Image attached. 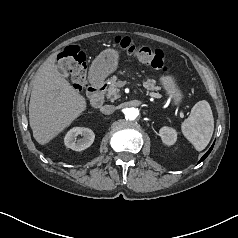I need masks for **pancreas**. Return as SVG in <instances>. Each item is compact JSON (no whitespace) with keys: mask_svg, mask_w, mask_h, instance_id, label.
I'll list each match as a JSON object with an SVG mask.
<instances>
[{"mask_svg":"<svg viewBox=\"0 0 238 238\" xmlns=\"http://www.w3.org/2000/svg\"><path fill=\"white\" fill-rule=\"evenodd\" d=\"M107 83L109 84V87L107 89V97L111 98L113 100H117L120 98V90L118 88V81L117 77L113 76L110 79L107 80ZM143 86L147 90L157 91L159 90V87L156 85V81L153 79H147V81L143 82Z\"/></svg>","mask_w":238,"mask_h":238,"instance_id":"cf45deb5","label":"pancreas"}]
</instances>
